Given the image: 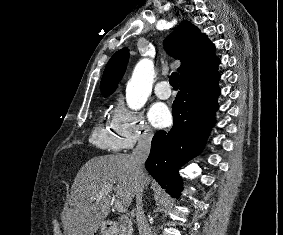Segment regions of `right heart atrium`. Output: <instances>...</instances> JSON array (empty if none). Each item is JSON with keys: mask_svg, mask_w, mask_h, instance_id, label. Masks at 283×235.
I'll list each match as a JSON object with an SVG mask.
<instances>
[{"mask_svg": "<svg viewBox=\"0 0 283 235\" xmlns=\"http://www.w3.org/2000/svg\"><path fill=\"white\" fill-rule=\"evenodd\" d=\"M112 126L118 134L120 148L128 150L136 144L149 143L153 130L145 118L119 101L112 116Z\"/></svg>", "mask_w": 283, "mask_h": 235, "instance_id": "right-heart-atrium-1", "label": "right heart atrium"}]
</instances>
